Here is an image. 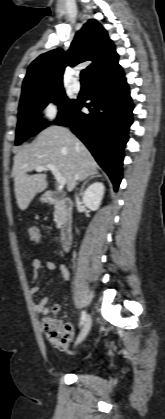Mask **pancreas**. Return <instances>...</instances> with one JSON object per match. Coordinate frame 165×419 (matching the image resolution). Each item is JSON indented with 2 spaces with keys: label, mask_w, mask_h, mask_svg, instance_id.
<instances>
[{
  "label": "pancreas",
  "mask_w": 165,
  "mask_h": 419,
  "mask_svg": "<svg viewBox=\"0 0 165 419\" xmlns=\"http://www.w3.org/2000/svg\"><path fill=\"white\" fill-rule=\"evenodd\" d=\"M54 221L57 225V228H59L62 224V219L59 217L58 212H55V214H54Z\"/></svg>",
  "instance_id": "1"
}]
</instances>
